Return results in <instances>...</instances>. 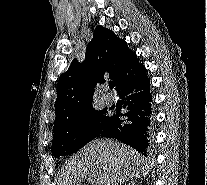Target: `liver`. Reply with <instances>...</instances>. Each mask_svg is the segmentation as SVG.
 <instances>
[{
    "label": "liver",
    "instance_id": "liver-1",
    "mask_svg": "<svg viewBox=\"0 0 207 185\" xmlns=\"http://www.w3.org/2000/svg\"><path fill=\"white\" fill-rule=\"evenodd\" d=\"M141 153L118 141H91L78 155L67 161L63 169V185H75L79 179L93 177L96 185H118L124 179H140L148 175Z\"/></svg>",
    "mask_w": 207,
    "mask_h": 185
}]
</instances>
